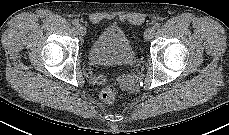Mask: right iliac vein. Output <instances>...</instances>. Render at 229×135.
<instances>
[{
    "label": "right iliac vein",
    "mask_w": 229,
    "mask_h": 135,
    "mask_svg": "<svg viewBox=\"0 0 229 135\" xmlns=\"http://www.w3.org/2000/svg\"><path fill=\"white\" fill-rule=\"evenodd\" d=\"M78 34L84 36L86 34V28L83 25L77 26Z\"/></svg>",
    "instance_id": "63e3f726"
}]
</instances>
